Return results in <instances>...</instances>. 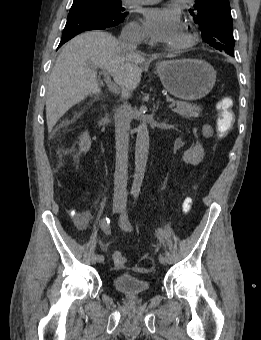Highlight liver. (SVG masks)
Listing matches in <instances>:
<instances>
[{"mask_svg":"<svg viewBox=\"0 0 261 340\" xmlns=\"http://www.w3.org/2000/svg\"><path fill=\"white\" fill-rule=\"evenodd\" d=\"M145 58L124 51L109 33H82L64 45L50 75L46 94V119L51 131L58 120L89 95L99 94L97 68L108 71L123 90L140 83Z\"/></svg>","mask_w":261,"mask_h":340,"instance_id":"obj_1","label":"liver"}]
</instances>
